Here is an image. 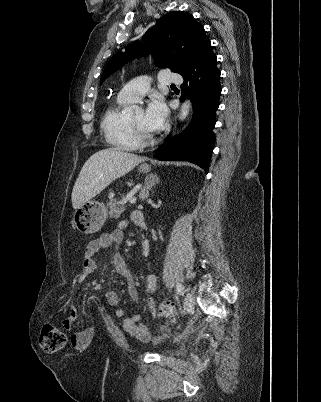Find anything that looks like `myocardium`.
<instances>
[{"label": "myocardium", "mask_w": 321, "mask_h": 402, "mask_svg": "<svg viewBox=\"0 0 321 402\" xmlns=\"http://www.w3.org/2000/svg\"><path fill=\"white\" fill-rule=\"evenodd\" d=\"M127 125L131 134L133 135L134 139L137 141L139 146H146L152 144L155 141L154 135L144 134L133 125L130 119H127Z\"/></svg>", "instance_id": "myocardium-1"}]
</instances>
